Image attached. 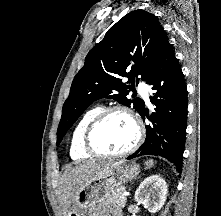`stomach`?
<instances>
[{"label":"stomach","mask_w":221,"mask_h":216,"mask_svg":"<svg viewBox=\"0 0 221 216\" xmlns=\"http://www.w3.org/2000/svg\"><path fill=\"white\" fill-rule=\"evenodd\" d=\"M139 173V166L123 160L109 164L92 176L76 193L67 216H86L112 196L123 184L133 180ZM115 212V211H112Z\"/></svg>","instance_id":"obj_1"}]
</instances>
